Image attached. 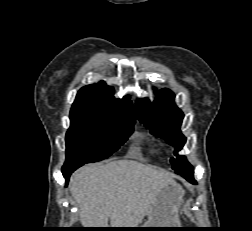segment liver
Instances as JSON below:
<instances>
[{
    "label": "liver",
    "mask_w": 252,
    "mask_h": 231,
    "mask_svg": "<svg viewBox=\"0 0 252 231\" xmlns=\"http://www.w3.org/2000/svg\"><path fill=\"white\" fill-rule=\"evenodd\" d=\"M171 175L134 160L87 165L70 179V191L80 207L85 228H136L149 214Z\"/></svg>",
    "instance_id": "1"
}]
</instances>
